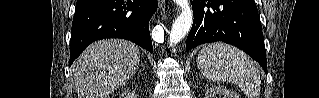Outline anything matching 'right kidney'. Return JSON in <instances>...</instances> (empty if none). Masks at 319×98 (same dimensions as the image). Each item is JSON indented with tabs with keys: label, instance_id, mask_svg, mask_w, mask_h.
Listing matches in <instances>:
<instances>
[{
	"label": "right kidney",
	"instance_id": "obj_1",
	"mask_svg": "<svg viewBox=\"0 0 319 98\" xmlns=\"http://www.w3.org/2000/svg\"><path fill=\"white\" fill-rule=\"evenodd\" d=\"M125 96H130L131 98H134V97H135L133 93L125 94ZM121 97H123V96H121Z\"/></svg>",
	"mask_w": 319,
	"mask_h": 98
}]
</instances>
